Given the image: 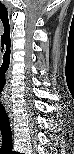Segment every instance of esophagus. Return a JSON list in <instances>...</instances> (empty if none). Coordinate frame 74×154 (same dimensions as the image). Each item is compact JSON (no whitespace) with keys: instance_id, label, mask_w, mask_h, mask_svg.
Returning a JSON list of instances; mask_svg holds the SVG:
<instances>
[{"instance_id":"34e87169","label":"esophagus","mask_w":74,"mask_h":154,"mask_svg":"<svg viewBox=\"0 0 74 154\" xmlns=\"http://www.w3.org/2000/svg\"><path fill=\"white\" fill-rule=\"evenodd\" d=\"M6 111H7V113L9 114L10 119L12 120L13 115H12L11 108L7 107V108H6Z\"/></svg>"}]
</instances>
